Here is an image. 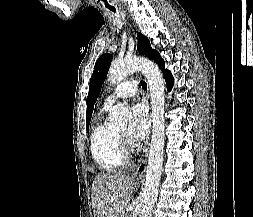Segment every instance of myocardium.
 <instances>
[{
	"label": "myocardium",
	"instance_id": "obj_1",
	"mask_svg": "<svg viewBox=\"0 0 253 217\" xmlns=\"http://www.w3.org/2000/svg\"><path fill=\"white\" fill-rule=\"evenodd\" d=\"M119 142H120V148L125 154V156L129 155V151H132L135 149L133 144L127 139L125 134H119Z\"/></svg>",
	"mask_w": 253,
	"mask_h": 217
}]
</instances>
